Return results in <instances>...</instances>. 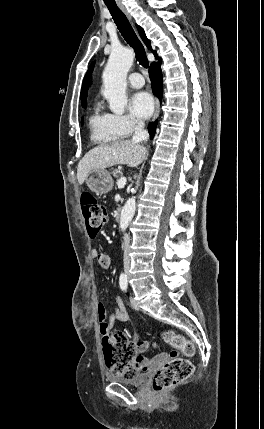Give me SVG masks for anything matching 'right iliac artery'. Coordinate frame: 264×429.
Instances as JSON below:
<instances>
[{
  "label": "right iliac artery",
  "mask_w": 264,
  "mask_h": 429,
  "mask_svg": "<svg viewBox=\"0 0 264 429\" xmlns=\"http://www.w3.org/2000/svg\"><path fill=\"white\" fill-rule=\"evenodd\" d=\"M119 285H120V288H121L123 291H126L127 286H128V281H127V276H126L124 273H122V274L120 275V278H119Z\"/></svg>",
  "instance_id": "obj_1"
}]
</instances>
